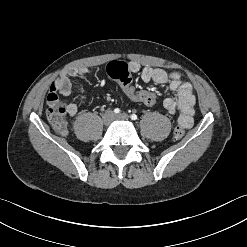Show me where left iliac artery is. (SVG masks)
<instances>
[{
    "instance_id": "left-iliac-artery-1",
    "label": "left iliac artery",
    "mask_w": 247,
    "mask_h": 247,
    "mask_svg": "<svg viewBox=\"0 0 247 247\" xmlns=\"http://www.w3.org/2000/svg\"><path fill=\"white\" fill-rule=\"evenodd\" d=\"M130 118H131L132 120H137L138 117H137L136 114H131Z\"/></svg>"
}]
</instances>
